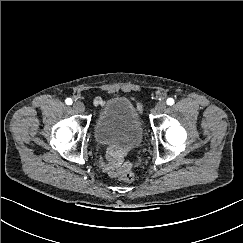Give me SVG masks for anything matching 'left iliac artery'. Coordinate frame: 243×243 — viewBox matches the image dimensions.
I'll return each instance as SVG.
<instances>
[{
  "instance_id": "left-iliac-artery-1",
  "label": "left iliac artery",
  "mask_w": 243,
  "mask_h": 243,
  "mask_svg": "<svg viewBox=\"0 0 243 243\" xmlns=\"http://www.w3.org/2000/svg\"><path fill=\"white\" fill-rule=\"evenodd\" d=\"M166 102H167V105L171 106V105L174 104V99L173 98H168Z\"/></svg>"
}]
</instances>
